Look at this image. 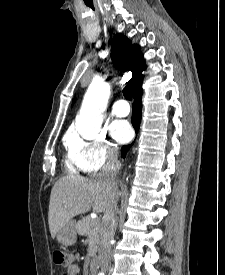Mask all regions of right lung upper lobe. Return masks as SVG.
Segmentation results:
<instances>
[{"label": "right lung upper lobe", "instance_id": "right-lung-upper-lobe-1", "mask_svg": "<svg viewBox=\"0 0 225 275\" xmlns=\"http://www.w3.org/2000/svg\"><path fill=\"white\" fill-rule=\"evenodd\" d=\"M111 57L114 66L121 71H131L132 78L129 83L133 92L140 88L145 69L143 54L138 45H132L131 41L122 34H116L111 43Z\"/></svg>", "mask_w": 225, "mask_h": 275}]
</instances>
